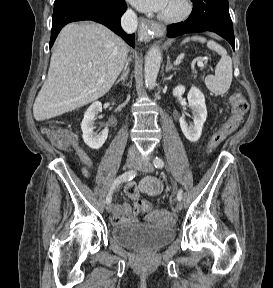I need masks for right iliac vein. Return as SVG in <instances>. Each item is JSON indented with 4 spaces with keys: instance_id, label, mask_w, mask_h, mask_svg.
Masks as SVG:
<instances>
[{
    "instance_id": "right-iliac-vein-1",
    "label": "right iliac vein",
    "mask_w": 273,
    "mask_h": 288,
    "mask_svg": "<svg viewBox=\"0 0 273 288\" xmlns=\"http://www.w3.org/2000/svg\"><path fill=\"white\" fill-rule=\"evenodd\" d=\"M137 163H138V160L136 158L128 157L127 160H126V163H125V167L130 169V168L136 166ZM112 210H113V204L112 203L107 204L106 211L108 213H110Z\"/></svg>"
}]
</instances>
